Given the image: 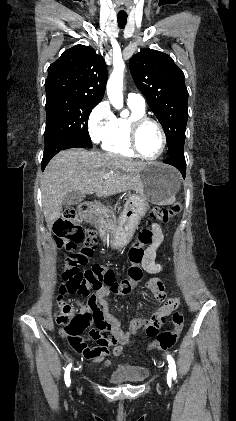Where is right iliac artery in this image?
Returning a JSON list of instances; mask_svg holds the SVG:
<instances>
[{"instance_id":"1","label":"right iliac artery","mask_w":236,"mask_h":421,"mask_svg":"<svg viewBox=\"0 0 236 421\" xmlns=\"http://www.w3.org/2000/svg\"><path fill=\"white\" fill-rule=\"evenodd\" d=\"M72 364L70 363L66 369H65V374H64V379H65V384L66 386H70L71 380H70V370H71Z\"/></svg>"}]
</instances>
